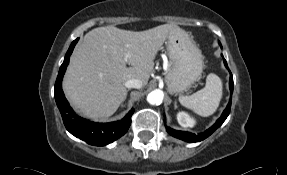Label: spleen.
I'll use <instances>...</instances> for the list:
<instances>
[{
    "instance_id": "1",
    "label": "spleen",
    "mask_w": 287,
    "mask_h": 175,
    "mask_svg": "<svg viewBox=\"0 0 287 175\" xmlns=\"http://www.w3.org/2000/svg\"><path fill=\"white\" fill-rule=\"evenodd\" d=\"M223 85L221 79L213 73L206 78L205 87L190 96H180V103L200 116H210L219 107Z\"/></svg>"
}]
</instances>
